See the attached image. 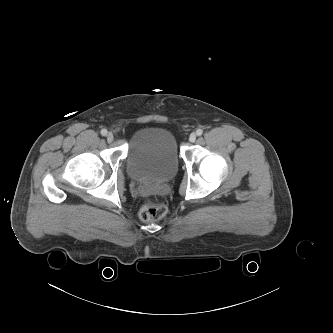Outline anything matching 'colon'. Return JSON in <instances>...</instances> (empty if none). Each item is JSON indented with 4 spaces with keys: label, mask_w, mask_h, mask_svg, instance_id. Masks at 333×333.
Wrapping results in <instances>:
<instances>
[{
    "label": "colon",
    "mask_w": 333,
    "mask_h": 333,
    "mask_svg": "<svg viewBox=\"0 0 333 333\" xmlns=\"http://www.w3.org/2000/svg\"><path fill=\"white\" fill-rule=\"evenodd\" d=\"M167 212V207L162 201H146L140 211L139 216L143 221H157L162 219Z\"/></svg>",
    "instance_id": "colon-1"
}]
</instances>
